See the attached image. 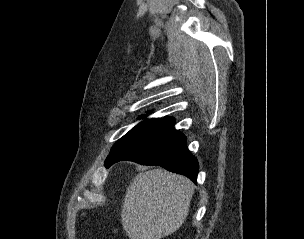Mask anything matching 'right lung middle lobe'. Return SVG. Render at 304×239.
Instances as JSON below:
<instances>
[{
	"mask_svg": "<svg viewBox=\"0 0 304 239\" xmlns=\"http://www.w3.org/2000/svg\"><path fill=\"white\" fill-rule=\"evenodd\" d=\"M140 118H143V116H141ZM168 122L169 121L167 119L159 118L146 119L142 121L115 143V145L111 149L110 154L128 145L129 143L149 134L155 129L164 126Z\"/></svg>",
	"mask_w": 304,
	"mask_h": 239,
	"instance_id": "right-lung-middle-lobe-1",
	"label": "right lung middle lobe"
}]
</instances>
